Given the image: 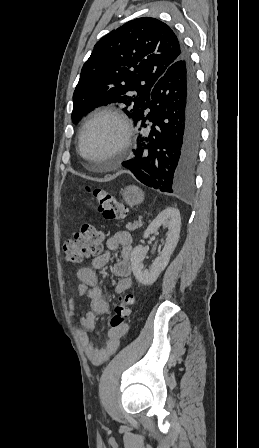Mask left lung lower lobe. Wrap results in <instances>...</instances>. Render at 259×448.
<instances>
[{"label": "left lung lower lobe", "mask_w": 259, "mask_h": 448, "mask_svg": "<svg viewBox=\"0 0 259 448\" xmlns=\"http://www.w3.org/2000/svg\"><path fill=\"white\" fill-rule=\"evenodd\" d=\"M139 131L135 157L122 165L143 184L162 192L190 188L198 159L201 117L195 71L188 53L154 85L150 102L132 116Z\"/></svg>", "instance_id": "1"}]
</instances>
